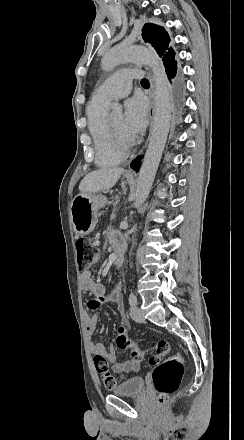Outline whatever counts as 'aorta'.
Segmentation results:
<instances>
[{
  "instance_id": "aorta-1",
  "label": "aorta",
  "mask_w": 244,
  "mask_h": 440,
  "mask_svg": "<svg viewBox=\"0 0 244 440\" xmlns=\"http://www.w3.org/2000/svg\"><path fill=\"white\" fill-rule=\"evenodd\" d=\"M129 61L148 65L152 69L154 82L153 128L135 192L134 205L138 207L145 202L149 195L166 144L171 120V92L159 57L148 48L117 46L104 55L102 67L109 71L117 65ZM111 109L116 113L122 111V107L118 103H113Z\"/></svg>"
}]
</instances>
